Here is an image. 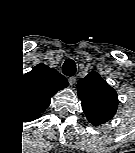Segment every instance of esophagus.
Wrapping results in <instances>:
<instances>
[{
  "label": "esophagus",
  "mask_w": 135,
  "mask_h": 153,
  "mask_svg": "<svg viewBox=\"0 0 135 153\" xmlns=\"http://www.w3.org/2000/svg\"><path fill=\"white\" fill-rule=\"evenodd\" d=\"M68 82L70 86H73L76 82V76L69 77Z\"/></svg>",
  "instance_id": "obj_1"
}]
</instances>
